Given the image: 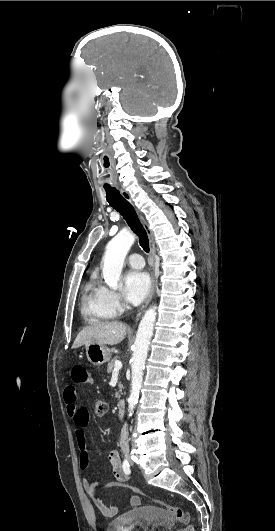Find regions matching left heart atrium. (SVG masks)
I'll return each mask as SVG.
<instances>
[{
	"label": "left heart atrium",
	"instance_id": "39dd6f15",
	"mask_svg": "<svg viewBox=\"0 0 275 531\" xmlns=\"http://www.w3.org/2000/svg\"><path fill=\"white\" fill-rule=\"evenodd\" d=\"M150 288V278L141 269L128 271L123 277V291L126 299L136 305L140 303Z\"/></svg>",
	"mask_w": 275,
	"mask_h": 531
}]
</instances>
